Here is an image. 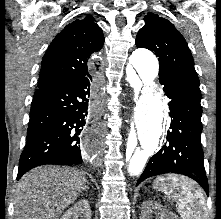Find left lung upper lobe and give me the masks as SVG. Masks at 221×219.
<instances>
[{
  "mask_svg": "<svg viewBox=\"0 0 221 219\" xmlns=\"http://www.w3.org/2000/svg\"><path fill=\"white\" fill-rule=\"evenodd\" d=\"M144 21L136 46L147 48L159 57L160 83L170 82L201 96L199 78L184 37L170 21L157 14L148 13Z\"/></svg>",
  "mask_w": 221,
  "mask_h": 219,
  "instance_id": "1",
  "label": "left lung upper lobe"
}]
</instances>
